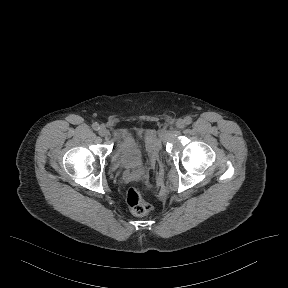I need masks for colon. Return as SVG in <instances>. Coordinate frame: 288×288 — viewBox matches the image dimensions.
<instances>
[{"mask_svg":"<svg viewBox=\"0 0 288 288\" xmlns=\"http://www.w3.org/2000/svg\"><path fill=\"white\" fill-rule=\"evenodd\" d=\"M126 202L129 209L138 216H143L151 210L150 204L144 199L139 187L131 186L127 191Z\"/></svg>","mask_w":288,"mask_h":288,"instance_id":"1","label":"colon"}]
</instances>
